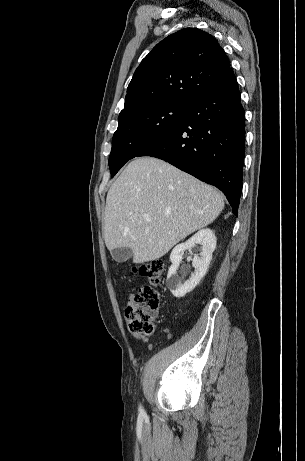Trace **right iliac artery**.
Masks as SVG:
<instances>
[{
	"label": "right iliac artery",
	"mask_w": 305,
	"mask_h": 461,
	"mask_svg": "<svg viewBox=\"0 0 305 461\" xmlns=\"http://www.w3.org/2000/svg\"><path fill=\"white\" fill-rule=\"evenodd\" d=\"M139 413H140V414H144V410L142 409L141 406H139Z\"/></svg>",
	"instance_id": "1"
}]
</instances>
